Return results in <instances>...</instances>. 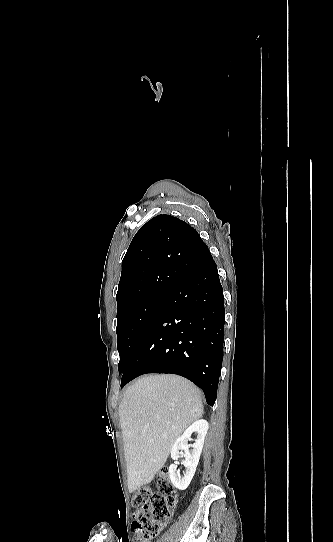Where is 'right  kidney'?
<instances>
[{
    "label": "right kidney",
    "mask_w": 333,
    "mask_h": 542,
    "mask_svg": "<svg viewBox=\"0 0 333 542\" xmlns=\"http://www.w3.org/2000/svg\"><path fill=\"white\" fill-rule=\"evenodd\" d=\"M208 428L209 426L206 420H197V422H194V424H191V426L185 430L181 438H178L174 446H172V460H178V458H180L179 450H184L183 456L185 460H183L182 464L186 470L183 478H180L177 474V464H171L169 468L170 480L173 486L178 488V490H186L196 472ZM192 434H196V440L192 446H189L188 440H190ZM189 448H192V450H189Z\"/></svg>",
    "instance_id": "obj_1"
}]
</instances>
